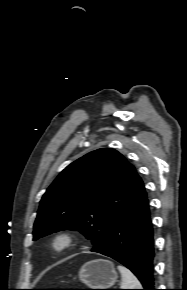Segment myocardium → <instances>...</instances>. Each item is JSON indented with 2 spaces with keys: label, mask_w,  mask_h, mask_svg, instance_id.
<instances>
[{
  "label": "myocardium",
  "mask_w": 187,
  "mask_h": 290,
  "mask_svg": "<svg viewBox=\"0 0 187 290\" xmlns=\"http://www.w3.org/2000/svg\"><path fill=\"white\" fill-rule=\"evenodd\" d=\"M74 234L69 230H59L50 239L49 247L54 253H62L73 246Z\"/></svg>",
  "instance_id": "1"
}]
</instances>
